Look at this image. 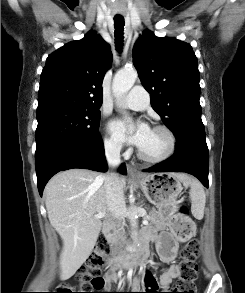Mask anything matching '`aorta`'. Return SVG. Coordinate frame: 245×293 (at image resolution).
Instances as JSON below:
<instances>
[{"mask_svg": "<svg viewBox=\"0 0 245 293\" xmlns=\"http://www.w3.org/2000/svg\"><path fill=\"white\" fill-rule=\"evenodd\" d=\"M137 78V72L134 69H123L118 71L114 78L112 83V90L116 97H121L125 93H127L132 86L134 85ZM132 131L133 128H130ZM130 224L132 227V235L133 239L136 241V235H137V227H138V220H137V213L134 208H131L130 215Z\"/></svg>", "mask_w": 245, "mask_h": 293, "instance_id": "762f6f07", "label": "aorta"}]
</instances>
